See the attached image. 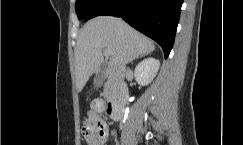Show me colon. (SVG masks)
Here are the masks:
<instances>
[{"mask_svg":"<svg viewBox=\"0 0 243 145\" xmlns=\"http://www.w3.org/2000/svg\"><path fill=\"white\" fill-rule=\"evenodd\" d=\"M95 131V127L92 125V123L86 118L83 122L82 126V135L86 139L89 136H91Z\"/></svg>","mask_w":243,"mask_h":145,"instance_id":"1","label":"colon"}]
</instances>
